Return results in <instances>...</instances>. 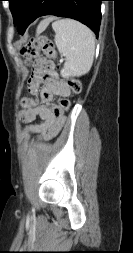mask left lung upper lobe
Instances as JSON below:
<instances>
[{"instance_id": "left-lung-upper-lobe-1", "label": "left lung upper lobe", "mask_w": 133, "mask_h": 253, "mask_svg": "<svg viewBox=\"0 0 133 253\" xmlns=\"http://www.w3.org/2000/svg\"><path fill=\"white\" fill-rule=\"evenodd\" d=\"M7 1H9V6L13 15L14 24L17 25L20 14L27 0H7Z\"/></svg>"}]
</instances>
